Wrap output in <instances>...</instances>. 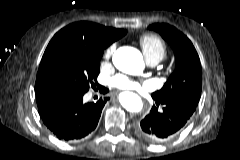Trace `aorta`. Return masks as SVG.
I'll list each match as a JSON object with an SVG mask.
<instances>
[{
	"label": "aorta",
	"instance_id": "1",
	"mask_svg": "<svg viewBox=\"0 0 240 160\" xmlns=\"http://www.w3.org/2000/svg\"><path fill=\"white\" fill-rule=\"evenodd\" d=\"M115 67L126 73H137L143 68L141 53L132 47H120L113 54ZM121 105L128 111L138 112L142 108L140 97L133 92H123L119 96Z\"/></svg>",
	"mask_w": 240,
	"mask_h": 160
}]
</instances>
